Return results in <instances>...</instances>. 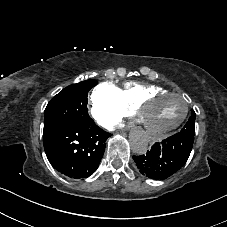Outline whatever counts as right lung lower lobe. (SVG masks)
Instances as JSON below:
<instances>
[{
	"mask_svg": "<svg viewBox=\"0 0 227 227\" xmlns=\"http://www.w3.org/2000/svg\"><path fill=\"white\" fill-rule=\"evenodd\" d=\"M111 136L93 122H74L43 136L51 165L74 179L86 178L97 170Z\"/></svg>",
	"mask_w": 227,
	"mask_h": 227,
	"instance_id": "98d812e1",
	"label": "right lung lower lobe"
}]
</instances>
